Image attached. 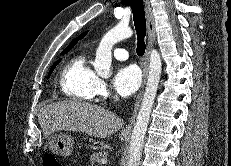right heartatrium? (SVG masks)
Listing matches in <instances>:
<instances>
[{
    "label": "right heart atrium",
    "instance_id": "1",
    "mask_svg": "<svg viewBox=\"0 0 231 166\" xmlns=\"http://www.w3.org/2000/svg\"><path fill=\"white\" fill-rule=\"evenodd\" d=\"M109 93L108 86L106 82L100 78H97L96 84H95V95L97 96H107Z\"/></svg>",
    "mask_w": 231,
    "mask_h": 166
}]
</instances>
